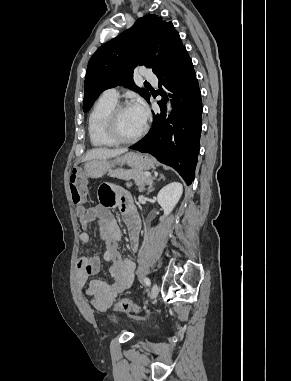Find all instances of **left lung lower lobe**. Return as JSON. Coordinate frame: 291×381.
<instances>
[{"label":"left lung lower lobe","mask_w":291,"mask_h":381,"mask_svg":"<svg viewBox=\"0 0 291 381\" xmlns=\"http://www.w3.org/2000/svg\"><path fill=\"white\" fill-rule=\"evenodd\" d=\"M157 77L159 85L172 92L169 94L173 104L172 113L166 118L165 95L158 102L160 115L153 114L151 131L130 148L149 153L158 161L173 167L190 185L194 180L200 148L202 100L186 48Z\"/></svg>","instance_id":"0a47b994"}]
</instances>
